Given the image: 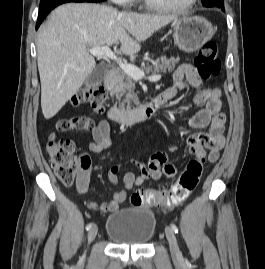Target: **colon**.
Instances as JSON below:
<instances>
[{
  "label": "colon",
  "mask_w": 265,
  "mask_h": 269,
  "mask_svg": "<svg viewBox=\"0 0 265 269\" xmlns=\"http://www.w3.org/2000/svg\"><path fill=\"white\" fill-rule=\"evenodd\" d=\"M195 66L199 74L210 79L221 70V62L217 55V45L213 41L203 44L195 58ZM106 89L102 85L94 86L75 95L73 105H85L94 114L104 110ZM89 117H73L62 119L56 124V132L71 130H87L91 125ZM47 152L51 166L57 178L64 185H72L79 176L82 157L76 154L74 144L70 140H56L55 132L49 136ZM204 159L198 157L190 160L178 180L165 191L160 189H142L134 192L130 198L132 205L140 206H172L186 200L195 190L204 169Z\"/></svg>",
  "instance_id": "1"
}]
</instances>
